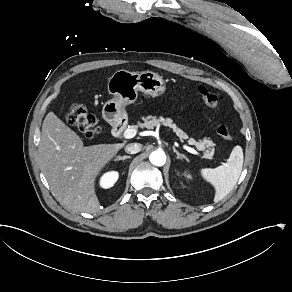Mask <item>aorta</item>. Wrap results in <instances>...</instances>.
<instances>
[{
  "mask_svg": "<svg viewBox=\"0 0 292 292\" xmlns=\"http://www.w3.org/2000/svg\"><path fill=\"white\" fill-rule=\"evenodd\" d=\"M150 162L155 166H163L166 163V155L162 151H155L150 155Z\"/></svg>",
  "mask_w": 292,
  "mask_h": 292,
  "instance_id": "aorta-1",
  "label": "aorta"
}]
</instances>
